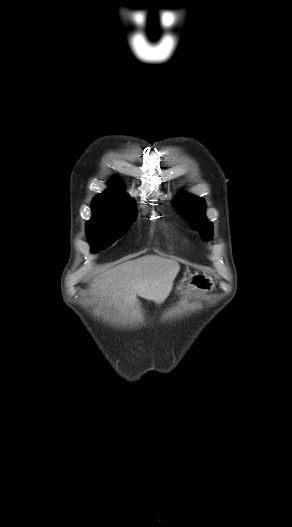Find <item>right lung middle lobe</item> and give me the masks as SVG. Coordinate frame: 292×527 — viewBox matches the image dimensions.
<instances>
[{
	"mask_svg": "<svg viewBox=\"0 0 292 527\" xmlns=\"http://www.w3.org/2000/svg\"><path fill=\"white\" fill-rule=\"evenodd\" d=\"M93 218L86 226L92 252L109 247L129 228L135 217L133 207L93 201Z\"/></svg>",
	"mask_w": 292,
	"mask_h": 527,
	"instance_id": "dd1d6c3e",
	"label": "right lung middle lobe"
}]
</instances>
